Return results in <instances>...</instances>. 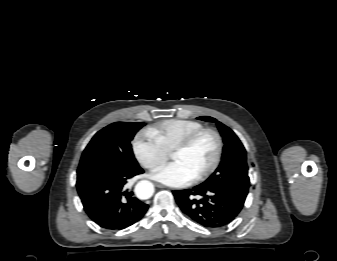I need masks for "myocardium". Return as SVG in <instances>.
<instances>
[{
    "label": "myocardium",
    "mask_w": 337,
    "mask_h": 261,
    "mask_svg": "<svg viewBox=\"0 0 337 261\" xmlns=\"http://www.w3.org/2000/svg\"><path fill=\"white\" fill-rule=\"evenodd\" d=\"M204 134H211L214 136L216 140V144H217L216 154H215L214 160L211 163V165L205 171H203L202 173L194 177L193 180L195 182L203 181L207 179L209 176H211L216 171V169L218 168L221 162L223 150H224V142H223L222 135L219 133V131L213 128H205V127L199 130H196L192 132L191 134H189L187 137H185L171 152V156H173L176 153L187 150L194 144V142L200 136Z\"/></svg>",
    "instance_id": "obj_1"
}]
</instances>
